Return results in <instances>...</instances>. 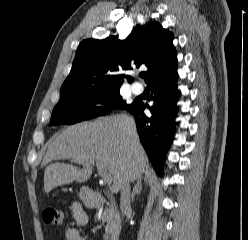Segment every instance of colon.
Listing matches in <instances>:
<instances>
[{"label": "colon", "instance_id": "1", "mask_svg": "<svg viewBox=\"0 0 248 240\" xmlns=\"http://www.w3.org/2000/svg\"><path fill=\"white\" fill-rule=\"evenodd\" d=\"M43 220L48 225L60 226L63 222V212L55 207H48L43 212Z\"/></svg>", "mask_w": 248, "mask_h": 240}]
</instances>
